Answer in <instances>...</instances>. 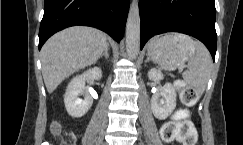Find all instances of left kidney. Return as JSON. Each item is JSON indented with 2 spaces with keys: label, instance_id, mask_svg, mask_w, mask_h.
<instances>
[{
  "label": "left kidney",
  "instance_id": "left-kidney-1",
  "mask_svg": "<svg viewBox=\"0 0 243 145\" xmlns=\"http://www.w3.org/2000/svg\"><path fill=\"white\" fill-rule=\"evenodd\" d=\"M148 78L152 81H160L163 74L158 69H150ZM162 99H159V97ZM176 107V91L171 83H166L162 90L151 98V110L159 120H165Z\"/></svg>",
  "mask_w": 243,
  "mask_h": 145
}]
</instances>
